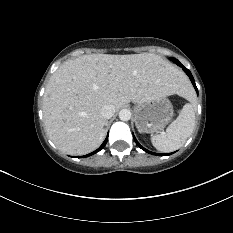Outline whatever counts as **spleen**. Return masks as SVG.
<instances>
[{
    "label": "spleen",
    "mask_w": 233,
    "mask_h": 233,
    "mask_svg": "<svg viewBox=\"0 0 233 233\" xmlns=\"http://www.w3.org/2000/svg\"><path fill=\"white\" fill-rule=\"evenodd\" d=\"M184 95L190 103L183 106L179 116L167 127L166 132L151 137L153 146L161 152H172L184 145L195 127L194 97L187 91Z\"/></svg>",
    "instance_id": "spleen-1"
}]
</instances>
